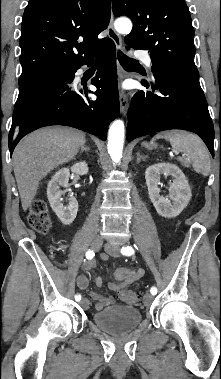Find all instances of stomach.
<instances>
[{"mask_svg":"<svg viewBox=\"0 0 221 379\" xmlns=\"http://www.w3.org/2000/svg\"><path fill=\"white\" fill-rule=\"evenodd\" d=\"M144 146L148 147V148H153L155 147V145L152 143V144H147V143H143Z\"/></svg>","mask_w":221,"mask_h":379,"instance_id":"stomach-1","label":"stomach"}]
</instances>
